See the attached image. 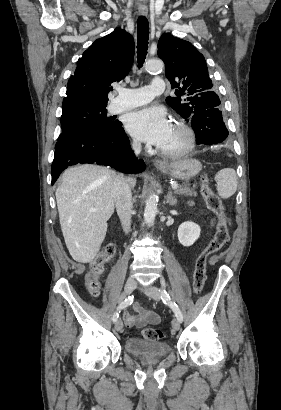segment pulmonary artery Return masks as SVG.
Here are the masks:
<instances>
[{"mask_svg":"<svg viewBox=\"0 0 281 410\" xmlns=\"http://www.w3.org/2000/svg\"><path fill=\"white\" fill-rule=\"evenodd\" d=\"M164 90L165 83L161 78H154L150 85L136 89L117 87L118 96L112 104L113 111L118 113L146 104Z\"/></svg>","mask_w":281,"mask_h":410,"instance_id":"pulmonary-artery-1","label":"pulmonary artery"}]
</instances>
